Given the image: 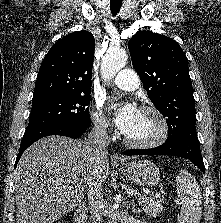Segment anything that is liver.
I'll use <instances>...</instances> for the list:
<instances>
[{"instance_id": "6515ba94", "label": "liver", "mask_w": 221, "mask_h": 223, "mask_svg": "<svg viewBox=\"0 0 221 223\" xmlns=\"http://www.w3.org/2000/svg\"><path fill=\"white\" fill-rule=\"evenodd\" d=\"M109 158L100 160L98 177L109 176ZM93 174L85 140L48 136L32 144L15 171L18 223H53L77 207Z\"/></svg>"}]
</instances>
